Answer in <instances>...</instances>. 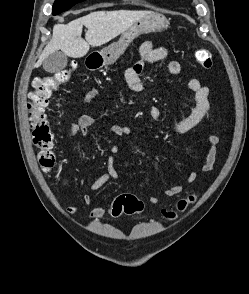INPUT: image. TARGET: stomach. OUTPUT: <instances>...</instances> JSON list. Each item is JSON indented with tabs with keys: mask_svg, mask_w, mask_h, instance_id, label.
<instances>
[{
	"mask_svg": "<svg viewBox=\"0 0 249 294\" xmlns=\"http://www.w3.org/2000/svg\"><path fill=\"white\" fill-rule=\"evenodd\" d=\"M168 27V21L160 13L150 12L148 15L136 21L128 30L122 33L120 40L100 52L93 54L98 57L99 67H107L114 64L124 54L130 43L143 33L161 31Z\"/></svg>",
	"mask_w": 249,
	"mask_h": 294,
	"instance_id": "stomach-1",
	"label": "stomach"
}]
</instances>
